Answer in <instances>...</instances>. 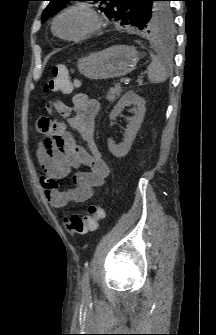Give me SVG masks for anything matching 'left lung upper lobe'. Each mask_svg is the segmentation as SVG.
Segmentation results:
<instances>
[{"instance_id": "5c2ea615", "label": "left lung upper lobe", "mask_w": 216, "mask_h": 335, "mask_svg": "<svg viewBox=\"0 0 216 335\" xmlns=\"http://www.w3.org/2000/svg\"><path fill=\"white\" fill-rule=\"evenodd\" d=\"M50 3L42 13L45 22L56 14L69 1L49 0ZM100 2V10L107 17L114 18L121 26H133L137 30L151 34H171L173 31V14L169 0H92Z\"/></svg>"}]
</instances>
